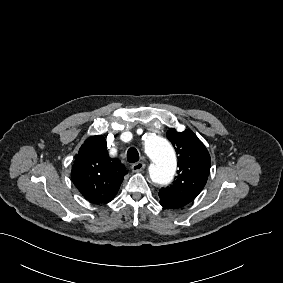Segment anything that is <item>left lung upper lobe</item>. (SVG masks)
<instances>
[{
	"instance_id": "left-lung-upper-lobe-1",
	"label": "left lung upper lobe",
	"mask_w": 283,
	"mask_h": 283,
	"mask_svg": "<svg viewBox=\"0 0 283 283\" xmlns=\"http://www.w3.org/2000/svg\"><path fill=\"white\" fill-rule=\"evenodd\" d=\"M167 138L179 155V170L174 183L161 188L159 197L163 207L177 209L193 201L202 191L208 179L211 161L206 147L191 130L176 132L170 129Z\"/></svg>"
}]
</instances>
